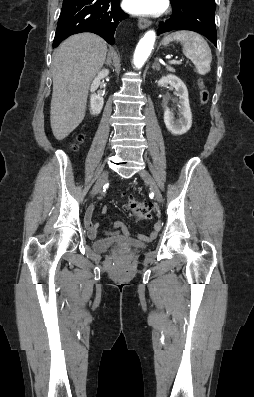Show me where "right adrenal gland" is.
<instances>
[{"instance_id": "1", "label": "right adrenal gland", "mask_w": 254, "mask_h": 397, "mask_svg": "<svg viewBox=\"0 0 254 397\" xmlns=\"http://www.w3.org/2000/svg\"><path fill=\"white\" fill-rule=\"evenodd\" d=\"M106 65H108V66H111V59H110V54L108 53V57H107V60H106Z\"/></svg>"}]
</instances>
